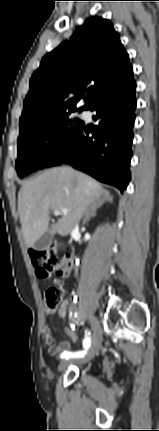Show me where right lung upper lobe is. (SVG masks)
<instances>
[{"label": "right lung upper lobe", "mask_w": 159, "mask_h": 431, "mask_svg": "<svg viewBox=\"0 0 159 431\" xmlns=\"http://www.w3.org/2000/svg\"><path fill=\"white\" fill-rule=\"evenodd\" d=\"M133 77L129 57L109 20L91 17L69 41L47 53L30 79L20 130L76 110L84 92L88 110L100 97Z\"/></svg>", "instance_id": "obj_1"}]
</instances>
